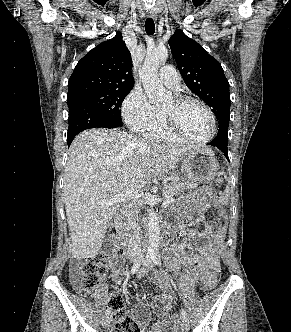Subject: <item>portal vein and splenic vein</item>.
I'll return each mask as SVG.
<instances>
[{
    "label": "portal vein and splenic vein",
    "mask_w": 291,
    "mask_h": 332,
    "mask_svg": "<svg viewBox=\"0 0 291 332\" xmlns=\"http://www.w3.org/2000/svg\"><path fill=\"white\" fill-rule=\"evenodd\" d=\"M143 195V192L140 190H131V191H125L122 193H119L115 196H113L106 204H114V203H120V202H127L132 199H139ZM174 199H167L163 202V205L169 204L173 202Z\"/></svg>",
    "instance_id": "obj_1"
}]
</instances>
